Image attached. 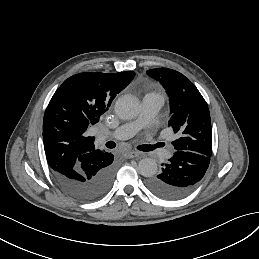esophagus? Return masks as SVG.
Segmentation results:
<instances>
[{
	"instance_id": "1",
	"label": "esophagus",
	"mask_w": 259,
	"mask_h": 259,
	"mask_svg": "<svg viewBox=\"0 0 259 259\" xmlns=\"http://www.w3.org/2000/svg\"><path fill=\"white\" fill-rule=\"evenodd\" d=\"M140 154L136 151H130V152H126L124 154V157L127 158V159H133V158H136L138 157Z\"/></svg>"
}]
</instances>
